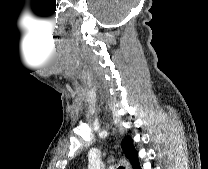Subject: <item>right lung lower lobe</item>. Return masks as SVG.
<instances>
[{
	"label": "right lung lower lobe",
	"instance_id": "right-lung-lower-lobe-1",
	"mask_svg": "<svg viewBox=\"0 0 208 169\" xmlns=\"http://www.w3.org/2000/svg\"><path fill=\"white\" fill-rule=\"evenodd\" d=\"M134 169H141L139 161L137 162V164L135 166H133Z\"/></svg>",
	"mask_w": 208,
	"mask_h": 169
}]
</instances>
